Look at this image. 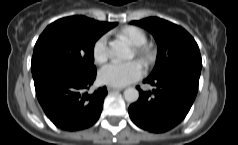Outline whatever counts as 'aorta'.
Listing matches in <instances>:
<instances>
[{
    "mask_svg": "<svg viewBox=\"0 0 238 145\" xmlns=\"http://www.w3.org/2000/svg\"><path fill=\"white\" fill-rule=\"evenodd\" d=\"M110 52L112 55L120 59L129 60L133 58L132 50L129 48L127 43L122 40L112 41L110 43ZM124 98L129 103L136 102L139 98V92L135 88H127L124 91Z\"/></svg>",
    "mask_w": 238,
    "mask_h": 145,
    "instance_id": "1",
    "label": "aorta"
}]
</instances>
